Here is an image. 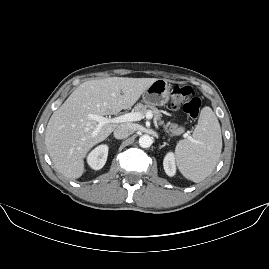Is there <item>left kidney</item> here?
Wrapping results in <instances>:
<instances>
[{
	"instance_id": "obj_1",
	"label": "left kidney",
	"mask_w": 269,
	"mask_h": 269,
	"mask_svg": "<svg viewBox=\"0 0 269 269\" xmlns=\"http://www.w3.org/2000/svg\"><path fill=\"white\" fill-rule=\"evenodd\" d=\"M163 166L168 176H174L176 173L175 158L173 152H168L163 160Z\"/></svg>"
}]
</instances>
